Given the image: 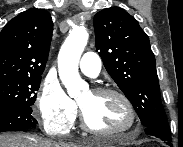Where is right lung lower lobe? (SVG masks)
<instances>
[{
    "label": "right lung lower lobe",
    "mask_w": 183,
    "mask_h": 147,
    "mask_svg": "<svg viewBox=\"0 0 183 147\" xmlns=\"http://www.w3.org/2000/svg\"><path fill=\"white\" fill-rule=\"evenodd\" d=\"M30 106L0 108V132L23 131L36 126Z\"/></svg>",
    "instance_id": "1"
}]
</instances>
